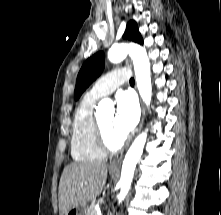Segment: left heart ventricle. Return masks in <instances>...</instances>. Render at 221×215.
<instances>
[{
	"label": "left heart ventricle",
	"instance_id": "b2bd125f",
	"mask_svg": "<svg viewBox=\"0 0 221 215\" xmlns=\"http://www.w3.org/2000/svg\"><path fill=\"white\" fill-rule=\"evenodd\" d=\"M113 119H114V116L112 113L104 115L99 118L100 123L103 127V130H104L107 138L112 143H116V142L120 141L122 138L119 137L113 130Z\"/></svg>",
	"mask_w": 221,
	"mask_h": 215
}]
</instances>
